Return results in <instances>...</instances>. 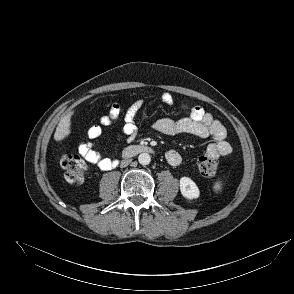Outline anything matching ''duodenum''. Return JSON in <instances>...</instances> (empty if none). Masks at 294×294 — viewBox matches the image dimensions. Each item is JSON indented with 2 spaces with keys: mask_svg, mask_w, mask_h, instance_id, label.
Wrapping results in <instances>:
<instances>
[{
  "mask_svg": "<svg viewBox=\"0 0 294 294\" xmlns=\"http://www.w3.org/2000/svg\"><path fill=\"white\" fill-rule=\"evenodd\" d=\"M150 148L144 145H131L127 147L124 152L123 156L125 158H130L136 154L142 153V152H149Z\"/></svg>",
  "mask_w": 294,
  "mask_h": 294,
  "instance_id": "1",
  "label": "duodenum"
}]
</instances>
